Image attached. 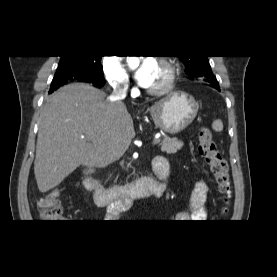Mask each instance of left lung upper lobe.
<instances>
[{
    "mask_svg": "<svg viewBox=\"0 0 277 277\" xmlns=\"http://www.w3.org/2000/svg\"><path fill=\"white\" fill-rule=\"evenodd\" d=\"M186 66V73L193 78H203L207 82L218 83L208 62V56H178Z\"/></svg>",
    "mask_w": 277,
    "mask_h": 277,
    "instance_id": "obj_1",
    "label": "left lung upper lobe"
}]
</instances>
